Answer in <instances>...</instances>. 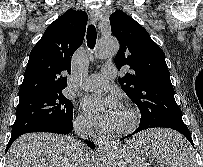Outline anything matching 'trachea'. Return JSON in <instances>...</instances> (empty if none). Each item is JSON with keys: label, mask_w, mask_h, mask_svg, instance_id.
Returning a JSON list of instances; mask_svg holds the SVG:
<instances>
[{"label": "trachea", "mask_w": 203, "mask_h": 167, "mask_svg": "<svg viewBox=\"0 0 203 167\" xmlns=\"http://www.w3.org/2000/svg\"><path fill=\"white\" fill-rule=\"evenodd\" d=\"M86 38L88 47L94 49L97 39V31L93 24L88 26Z\"/></svg>", "instance_id": "1"}]
</instances>
